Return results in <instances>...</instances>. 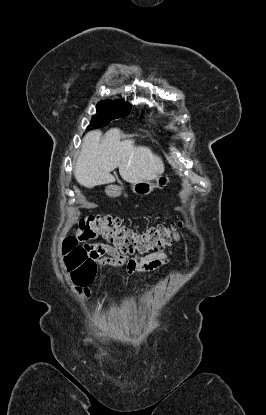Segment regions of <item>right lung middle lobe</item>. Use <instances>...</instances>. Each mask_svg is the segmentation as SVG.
I'll use <instances>...</instances> for the list:
<instances>
[{
	"label": "right lung middle lobe",
	"instance_id": "1",
	"mask_svg": "<svg viewBox=\"0 0 266 415\" xmlns=\"http://www.w3.org/2000/svg\"><path fill=\"white\" fill-rule=\"evenodd\" d=\"M97 114L92 117L90 128H99L108 125V123L117 118L127 116L130 112L131 105L123 101H101L97 104Z\"/></svg>",
	"mask_w": 266,
	"mask_h": 415
}]
</instances>
